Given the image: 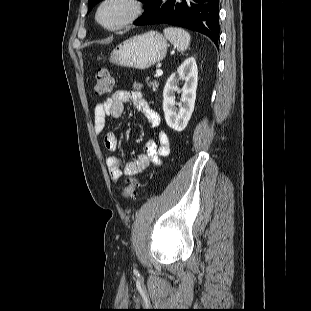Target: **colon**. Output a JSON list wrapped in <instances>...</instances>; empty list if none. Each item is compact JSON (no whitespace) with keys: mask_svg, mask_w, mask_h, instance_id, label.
Here are the masks:
<instances>
[{"mask_svg":"<svg viewBox=\"0 0 311 311\" xmlns=\"http://www.w3.org/2000/svg\"><path fill=\"white\" fill-rule=\"evenodd\" d=\"M114 81L106 68H100L96 72L95 93L97 95H105L113 90ZM139 182L135 178L128 179L127 184L122 188L121 195L125 199H133L136 196Z\"/></svg>","mask_w":311,"mask_h":311,"instance_id":"1","label":"colon"}]
</instances>
